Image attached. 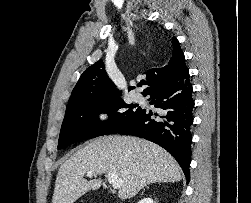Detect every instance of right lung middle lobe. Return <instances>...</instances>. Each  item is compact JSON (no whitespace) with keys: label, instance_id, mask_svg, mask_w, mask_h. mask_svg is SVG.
<instances>
[{"label":"right lung middle lobe","instance_id":"obj_1","mask_svg":"<svg viewBox=\"0 0 251 203\" xmlns=\"http://www.w3.org/2000/svg\"><path fill=\"white\" fill-rule=\"evenodd\" d=\"M134 108L135 106H129L119 97L67 105L58 140V149L66 148L80 140L115 134L141 109L140 107ZM100 113H107L108 120H99Z\"/></svg>","mask_w":251,"mask_h":203}]
</instances>
